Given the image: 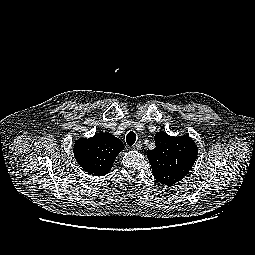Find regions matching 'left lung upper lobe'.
<instances>
[{"label": "left lung upper lobe", "instance_id": "left-lung-upper-lobe-1", "mask_svg": "<svg viewBox=\"0 0 255 255\" xmlns=\"http://www.w3.org/2000/svg\"><path fill=\"white\" fill-rule=\"evenodd\" d=\"M156 148L147 151L156 180L171 186L182 180L192 169L198 149L188 135L170 136L164 131L155 135Z\"/></svg>", "mask_w": 255, "mask_h": 255}]
</instances>
